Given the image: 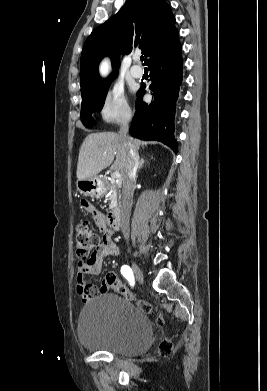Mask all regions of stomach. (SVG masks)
Returning a JSON list of instances; mask_svg holds the SVG:
<instances>
[{"instance_id": "stomach-1", "label": "stomach", "mask_w": 267, "mask_h": 391, "mask_svg": "<svg viewBox=\"0 0 267 391\" xmlns=\"http://www.w3.org/2000/svg\"><path fill=\"white\" fill-rule=\"evenodd\" d=\"M76 186L77 190L81 194L93 198H100L106 192L104 181L99 176H93L88 179L78 180Z\"/></svg>"}]
</instances>
